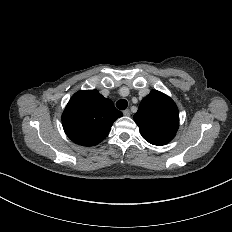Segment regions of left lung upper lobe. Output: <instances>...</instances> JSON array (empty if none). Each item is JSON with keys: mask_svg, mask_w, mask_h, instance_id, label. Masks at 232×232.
Segmentation results:
<instances>
[{"mask_svg": "<svg viewBox=\"0 0 232 232\" xmlns=\"http://www.w3.org/2000/svg\"><path fill=\"white\" fill-rule=\"evenodd\" d=\"M134 120L146 141L161 146L174 138L179 126V112L170 97L152 90L141 101Z\"/></svg>", "mask_w": 232, "mask_h": 232, "instance_id": "5c2ea615", "label": "left lung upper lobe"}]
</instances>
